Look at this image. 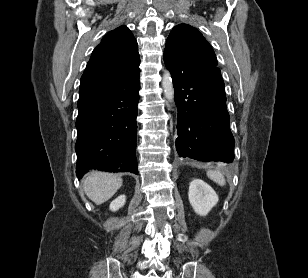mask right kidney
<instances>
[{
  "label": "right kidney",
  "mask_w": 308,
  "mask_h": 278,
  "mask_svg": "<svg viewBox=\"0 0 308 278\" xmlns=\"http://www.w3.org/2000/svg\"><path fill=\"white\" fill-rule=\"evenodd\" d=\"M126 202V196L125 195H120L119 197H117L115 200H113L110 204V210L111 211H117L119 210L121 207L124 206Z\"/></svg>",
  "instance_id": "1"
}]
</instances>
